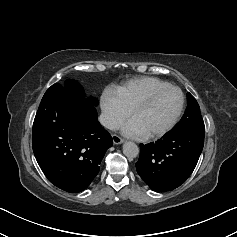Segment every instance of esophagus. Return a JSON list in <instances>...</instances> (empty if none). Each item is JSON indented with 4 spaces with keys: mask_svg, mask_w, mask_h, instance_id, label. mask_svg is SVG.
<instances>
[{
    "mask_svg": "<svg viewBox=\"0 0 237 237\" xmlns=\"http://www.w3.org/2000/svg\"><path fill=\"white\" fill-rule=\"evenodd\" d=\"M112 139H113V143L117 145L124 142V139H122L120 136L116 134L112 135Z\"/></svg>",
    "mask_w": 237,
    "mask_h": 237,
    "instance_id": "34e87169",
    "label": "esophagus"
}]
</instances>
